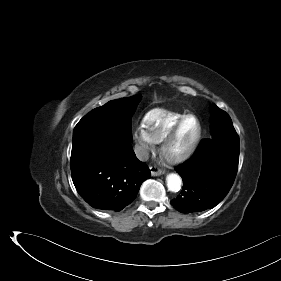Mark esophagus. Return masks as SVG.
<instances>
[{"label": "esophagus", "mask_w": 281, "mask_h": 281, "mask_svg": "<svg viewBox=\"0 0 281 281\" xmlns=\"http://www.w3.org/2000/svg\"><path fill=\"white\" fill-rule=\"evenodd\" d=\"M150 172L152 176H160L162 174H164V170L158 168V167H150Z\"/></svg>", "instance_id": "34e87169"}]
</instances>
